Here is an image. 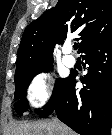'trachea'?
Masks as SVG:
<instances>
[{
  "instance_id": "obj_1",
  "label": "trachea",
  "mask_w": 112,
  "mask_h": 135,
  "mask_svg": "<svg viewBox=\"0 0 112 135\" xmlns=\"http://www.w3.org/2000/svg\"><path fill=\"white\" fill-rule=\"evenodd\" d=\"M73 48H74V50H77L78 49V44H74Z\"/></svg>"
}]
</instances>
